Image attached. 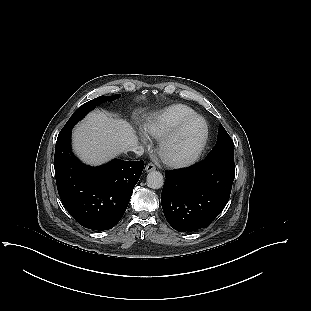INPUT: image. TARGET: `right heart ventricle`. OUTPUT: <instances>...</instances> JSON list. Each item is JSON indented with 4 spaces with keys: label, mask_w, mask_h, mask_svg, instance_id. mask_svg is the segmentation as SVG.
Here are the masks:
<instances>
[{
    "label": "right heart ventricle",
    "mask_w": 311,
    "mask_h": 311,
    "mask_svg": "<svg viewBox=\"0 0 311 311\" xmlns=\"http://www.w3.org/2000/svg\"><path fill=\"white\" fill-rule=\"evenodd\" d=\"M196 114L184 104L171 105L150 117L143 125V133L153 139H161L185 118Z\"/></svg>",
    "instance_id": "right-heart-ventricle-1"
}]
</instances>
